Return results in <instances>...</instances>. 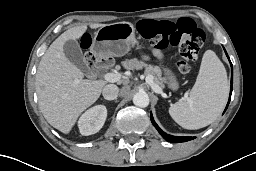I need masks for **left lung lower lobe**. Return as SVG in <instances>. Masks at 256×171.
Returning <instances> with one entry per match:
<instances>
[{
    "instance_id": "0a47b994",
    "label": "left lung lower lobe",
    "mask_w": 256,
    "mask_h": 171,
    "mask_svg": "<svg viewBox=\"0 0 256 171\" xmlns=\"http://www.w3.org/2000/svg\"><path fill=\"white\" fill-rule=\"evenodd\" d=\"M226 52V51H225ZM226 55H227V53H226ZM231 63V62H230ZM232 66V65H231ZM232 89H233V79H231V89H230V97H231V93H232ZM229 102H230V99H229V101H228V104H227V106H226V109H227V107H228V105H229ZM226 109H225V111H226ZM224 111V112H225ZM151 121H152V123H153V125H154V127L158 130V132L160 133V135L165 139V140H167V141H169V142H172V143H180V142H186V141H189V140H192V139H194V137H178V136H172V135H169V134H166L165 132H163L160 128H159V126L156 124V122L154 121V119H153V116H152V114H151Z\"/></svg>"
}]
</instances>
